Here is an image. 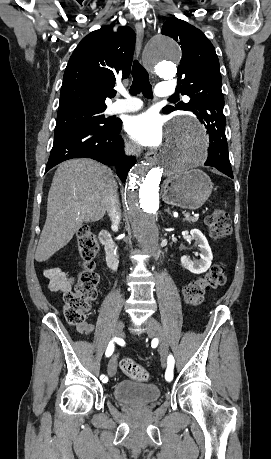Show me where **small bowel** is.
Returning <instances> with one entry per match:
<instances>
[{
    "instance_id": "c3829d8e",
    "label": "small bowel",
    "mask_w": 271,
    "mask_h": 459,
    "mask_svg": "<svg viewBox=\"0 0 271 459\" xmlns=\"http://www.w3.org/2000/svg\"><path fill=\"white\" fill-rule=\"evenodd\" d=\"M44 276L48 281L49 288L54 292H68L75 283V278L69 276L66 271L59 267H50L44 271ZM92 323L83 322L77 326V331L81 334H89L93 331Z\"/></svg>"
}]
</instances>
